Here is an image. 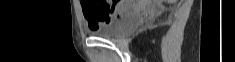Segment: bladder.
I'll return each mask as SVG.
<instances>
[{
    "label": "bladder",
    "instance_id": "obj_1",
    "mask_svg": "<svg viewBox=\"0 0 235 62\" xmlns=\"http://www.w3.org/2000/svg\"><path fill=\"white\" fill-rule=\"evenodd\" d=\"M140 20V9L135 4H128L109 21L92 30V35L105 39L119 38L134 29Z\"/></svg>",
    "mask_w": 235,
    "mask_h": 62
}]
</instances>
